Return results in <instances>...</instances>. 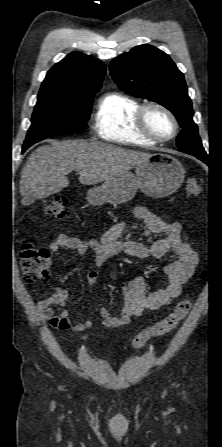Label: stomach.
<instances>
[{
  "label": "stomach",
  "mask_w": 222,
  "mask_h": 447,
  "mask_svg": "<svg viewBox=\"0 0 222 447\" xmlns=\"http://www.w3.org/2000/svg\"><path fill=\"white\" fill-rule=\"evenodd\" d=\"M184 175L185 170L177 159L164 153H154L136 165L135 174L126 171L90 189L87 200L95 206L122 204L133 199L138 190L150 197H166L181 186Z\"/></svg>",
  "instance_id": "stomach-1"
}]
</instances>
